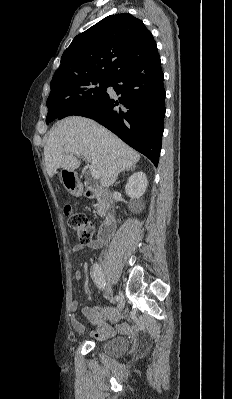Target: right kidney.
<instances>
[{"mask_svg":"<svg viewBox=\"0 0 232 399\" xmlns=\"http://www.w3.org/2000/svg\"><path fill=\"white\" fill-rule=\"evenodd\" d=\"M147 186L148 182L144 172H135L133 176H130L125 186L127 196L134 201L136 207H139V209H144L145 207V203L141 200V196H143Z\"/></svg>","mask_w":232,"mask_h":399,"instance_id":"1","label":"right kidney"}]
</instances>
